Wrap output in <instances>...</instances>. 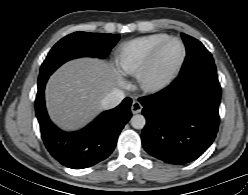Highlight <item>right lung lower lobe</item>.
I'll list each match as a JSON object with an SVG mask.
<instances>
[{"mask_svg": "<svg viewBox=\"0 0 248 195\" xmlns=\"http://www.w3.org/2000/svg\"><path fill=\"white\" fill-rule=\"evenodd\" d=\"M48 78L38 81L35 111L43 142L52 157L73 169L87 168L106 159L131 117V99L125 98L116 108L103 112L80 131L64 132L50 121L46 111L44 88Z\"/></svg>", "mask_w": 248, "mask_h": 195, "instance_id": "right-lung-lower-lobe-1", "label": "right lung lower lobe"}]
</instances>
